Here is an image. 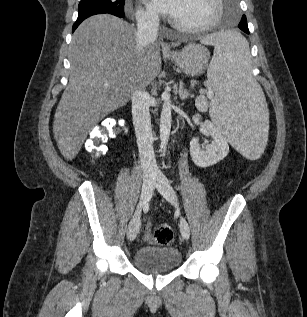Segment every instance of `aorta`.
I'll list each match as a JSON object with an SVG mask.
<instances>
[{"mask_svg": "<svg viewBox=\"0 0 307 317\" xmlns=\"http://www.w3.org/2000/svg\"><path fill=\"white\" fill-rule=\"evenodd\" d=\"M162 111H161V117H160V152L161 156H165L170 131H171V121H172V115H171V95L169 92L165 91L162 94Z\"/></svg>", "mask_w": 307, "mask_h": 317, "instance_id": "762f6f07", "label": "aorta"}]
</instances>
